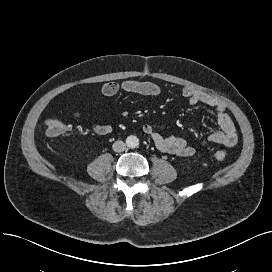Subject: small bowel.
Returning <instances> with one entry per match:
<instances>
[{"instance_id":"1","label":"small bowel","mask_w":272,"mask_h":272,"mask_svg":"<svg viewBox=\"0 0 272 272\" xmlns=\"http://www.w3.org/2000/svg\"><path fill=\"white\" fill-rule=\"evenodd\" d=\"M119 92L135 93L144 96H157L160 93V87L148 81L125 80L122 82H109L104 84L100 93L103 96H113ZM182 95L188 99L190 104H205L212 107L216 112V120L220 130L211 132L203 141L202 145L209 143L220 144L231 147L238 140V131L233 120L226 111L225 103L206 92L196 90L189 86L181 88ZM79 112L75 111V116L79 117ZM112 126L108 124H94L92 131L98 135H108L112 132ZM142 131L149 136L156 147L169 154L180 157H190L194 154V143L175 135H165L156 130L151 124H144Z\"/></svg>"}]
</instances>
